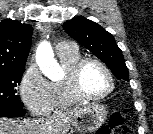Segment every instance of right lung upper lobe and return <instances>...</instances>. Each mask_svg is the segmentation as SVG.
I'll use <instances>...</instances> for the list:
<instances>
[{"instance_id": "obj_1", "label": "right lung upper lobe", "mask_w": 153, "mask_h": 134, "mask_svg": "<svg viewBox=\"0 0 153 134\" xmlns=\"http://www.w3.org/2000/svg\"><path fill=\"white\" fill-rule=\"evenodd\" d=\"M33 29L16 20L0 22V69L25 68Z\"/></svg>"}]
</instances>
